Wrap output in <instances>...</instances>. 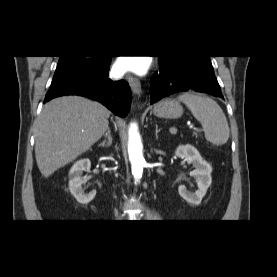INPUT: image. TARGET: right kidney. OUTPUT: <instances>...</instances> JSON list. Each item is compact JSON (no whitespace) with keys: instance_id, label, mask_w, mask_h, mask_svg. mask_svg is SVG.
<instances>
[{"instance_id":"right-kidney-1","label":"right kidney","mask_w":277,"mask_h":277,"mask_svg":"<svg viewBox=\"0 0 277 277\" xmlns=\"http://www.w3.org/2000/svg\"><path fill=\"white\" fill-rule=\"evenodd\" d=\"M90 167V160L84 158L75 162L69 171V190L80 204H88L96 195V191L85 194L82 188L83 180L81 175L83 171L89 170Z\"/></svg>"}]
</instances>
